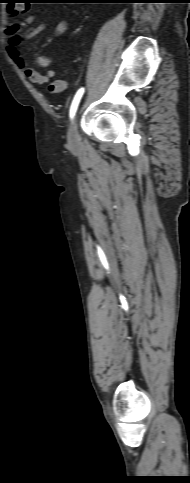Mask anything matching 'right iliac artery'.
Here are the masks:
<instances>
[{
	"label": "right iliac artery",
	"instance_id": "obj_1",
	"mask_svg": "<svg viewBox=\"0 0 190 483\" xmlns=\"http://www.w3.org/2000/svg\"><path fill=\"white\" fill-rule=\"evenodd\" d=\"M84 93V88H81L77 91L73 101H72V104H71V107H70V118L72 119L75 115V112L77 110V107H78V104L80 102V99L82 97Z\"/></svg>",
	"mask_w": 190,
	"mask_h": 483
}]
</instances>
